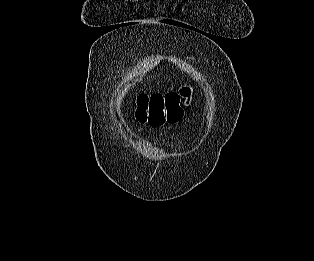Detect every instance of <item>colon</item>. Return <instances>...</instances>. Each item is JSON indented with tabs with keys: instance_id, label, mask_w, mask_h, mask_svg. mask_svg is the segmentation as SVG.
I'll return each instance as SVG.
<instances>
[{
	"instance_id": "1",
	"label": "colon",
	"mask_w": 314,
	"mask_h": 261,
	"mask_svg": "<svg viewBox=\"0 0 314 261\" xmlns=\"http://www.w3.org/2000/svg\"><path fill=\"white\" fill-rule=\"evenodd\" d=\"M189 96L190 89L188 87H184L180 91L168 92L165 95L141 94L137 98V119L152 127H159L166 122L175 123L182 117L181 100L187 99Z\"/></svg>"
}]
</instances>
